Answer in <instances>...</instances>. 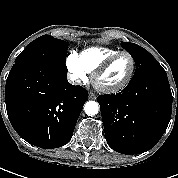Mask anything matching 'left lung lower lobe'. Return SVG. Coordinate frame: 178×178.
I'll return each mask as SVG.
<instances>
[{
    "mask_svg": "<svg viewBox=\"0 0 178 178\" xmlns=\"http://www.w3.org/2000/svg\"><path fill=\"white\" fill-rule=\"evenodd\" d=\"M108 145L122 154L151 149L167 129L172 93L166 72L132 80L118 94L99 96Z\"/></svg>",
    "mask_w": 178,
    "mask_h": 178,
    "instance_id": "obj_1",
    "label": "left lung lower lobe"
}]
</instances>
